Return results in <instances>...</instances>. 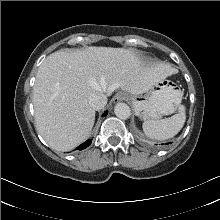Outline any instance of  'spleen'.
I'll return each mask as SVG.
<instances>
[{
  "mask_svg": "<svg viewBox=\"0 0 220 220\" xmlns=\"http://www.w3.org/2000/svg\"><path fill=\"white\" fill-rule=\"evenodd\" d=\"M179 112L161 120H147L143 123L144 133L153 139L167 140L174 137L183 128L186 114L185 106L179 105Z\"/></svg>",
  "mask_w": 220,
  "mask_h": 220,
  "instance_id": "spleen-1",
  "label": "spleen"
}]
</instances>
